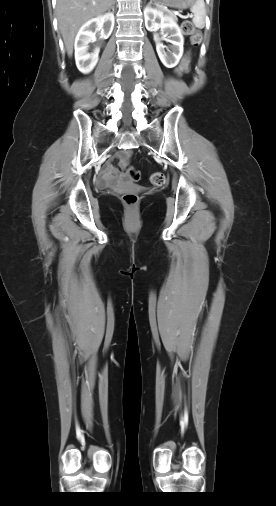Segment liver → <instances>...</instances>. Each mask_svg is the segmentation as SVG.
I'll use <instances>...</instances> for the list:
<instances>
[{"label": "liver", "mask_w": 276, "mask_h": 506, "mask_svg": "<svg viewBox=\"0 0 276 506\" xmlns=\"http://www.w3.org/2000/svg\"><path fill=\"white\" fill-rule=\"evenodd\" d=\"M114 0H57L58 26L68 56H72L75 35L88 20L109 10Z\"/></svg>", "instance_id": "1"}]
</instances>
